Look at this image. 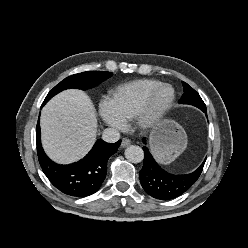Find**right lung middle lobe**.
<instances>
[{
    "label": "right lung middle lobe",
    "instance_id": "right-lung-middle-lobe-1",
    "mask_svg": "<svg viewBox=\"0 0 248 248\" xmlns=\"http://www.w3.org/2000/svg\"><path fill=\"white\" fill-rule=\"evenodd\" d=\"M112 76L111 72L106 71H87L79 74L71 75L62 80L56 85L46 96L44 102L46 103L57 93L70 88H77L86 90L97 86L99 83Z\"/></svg>",
    "mask_w": 248,
    "mask_h": 248
}]
</instances>
